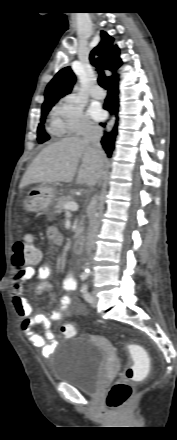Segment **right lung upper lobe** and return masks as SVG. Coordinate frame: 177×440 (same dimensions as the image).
Listing matches in <instances>:
<instances>
[{
	"mask_svg": "<svg viewBox=\"0 0 177 440\" xmlns=\"http://www.w3.org/2000/svg\"><path fill=\"white\" fill-rule=\"evenodd\" d=\"M100 43L92 50L90 54V60L93 61L95 54L99 55L103 61L104 67L110 70L113 75L107 77V80L115 75L116 70L121 65V59L119 57V49L113 45V38L106 32L101 31ZM75 75L70 67L61 69L47 85L45 90V101L57 102L59 98L69 94L75 83Z\"/></svg>",
	"mask_w": 177,
	"mask_h": 440,
	"instance_id": "right-lung-upper-lobe-1",
	"label": "right lung upper lobe"
}]
</instances>
